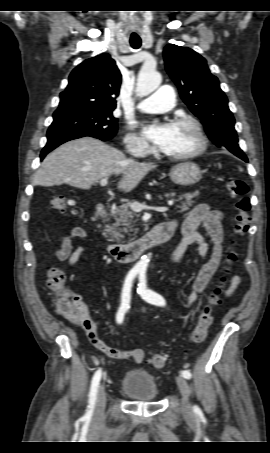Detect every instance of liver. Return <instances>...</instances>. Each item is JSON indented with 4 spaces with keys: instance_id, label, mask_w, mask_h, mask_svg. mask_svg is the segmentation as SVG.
Here are the masks:
<instances>
[{
    "instance_id": "1",
    "label": "liver",
    "mask_w": 270,
    "mask_h": 453,
    "mask_svg": "<svg viewBox=\"0 0 270 453\" xmlns=\"http://www.w3.org/2000/svg\"><path fill=\"white\" fill-rule=\"evenodd\" d=\"M156 167L128 159L98 139L83 137L66 142L48 154L34 175L33 185L50 187L66 183L88 190L98 180L121 174L117 186L127 193Z\"/></svg>"
}]
</instances>
